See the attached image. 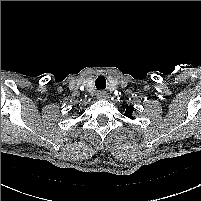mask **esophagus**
I'll list each match as a JSON object with an SVG mask.
<instances>
[{"instance_id": "34e87169", "label": "esophagus", "mask_w": 201, "mask_h": 201, "mask_svg": "<svg viewBox=\"0 0 201 201\" xmlns=\"http://www.w3.org/2000/svg\"><path fill=\"white\" fill-rule=\"evenodd\" d=\"M108 98H109V96L106 91L101 90L97 93V99H99V100H106Z\"/></svg>"}]
</instances>
